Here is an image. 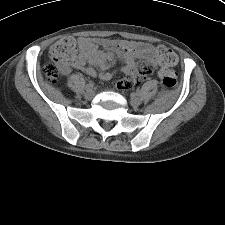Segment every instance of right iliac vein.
<instances>
[{
	"instance_id": "obj_1",
	"label": "right iliac vein",
	"mask_w": 225,
	"mask_h": 225,
	"mask_svg": "<svg viewBox=\"0 0 225 225\" xmlns=\"http://www.w3.org/2000/svg\"><path fill=\"white\" fill-rule=\"evenodd\" d=\"M95 95V92L93 91L92 88L87 89V91L85 92L84 96L85 98H87L88 100H91Z\"/></svg>"
}]
</instances>
